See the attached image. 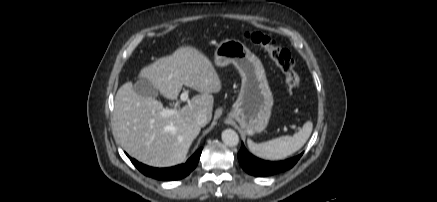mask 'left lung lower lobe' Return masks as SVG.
<instances>
[{"instance_id":"1","label":"left lung lower lobe","mask_w":437,"mask_h":202,"mask_svg":"<svg viewBox=\"0 0 437 202\" xmlns=\"http://www.w3.org/2000/svg\"><path fill=\"white\" fill-rule=\"evenodd\" d=\"M301 156L302 154L284 161L277 162L264 161L250 154L243 143L240 151L238 152V160L241 167L248 174L257 177L269 176L291 169Z\"/></svg>"}]
</instances>
